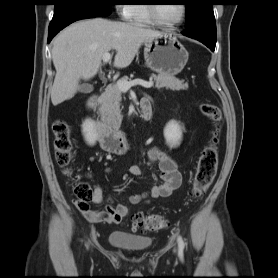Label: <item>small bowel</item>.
Listing matches in <instances>:
<instances>
[{
    "label": "small bowel",
    "mask_w": 278,
    "mask_h": 278,
    "mask_svg": "<svg viewBox=\"0 0 278 278\" xmlns=\"http://www.w3.org/2000/svg\"><path fill=\"white\" fill-rule=\"evenodd\" d=\"M149 158L159 171L160 182L154 184L145 193L131 195L129 201L132 204L148 203L158 198L169 197L181 186L182 175L174 159L157 147L149 151ZM109 172L110 169L107 168L106 173ZM129 172L138 177L142 175V169L139 165L131 166ZM92 201L95 204L102 203L103 189L100 185L94 186ZM75 205L81 214L92 223L119 224L129 212L128 206L124 203L114 204L112 198H109L107 206L101 211L90 209L88 204L76 202Z\"/></svg>",
    "instance_id": "small-bowel-1"
}]
</instances>
